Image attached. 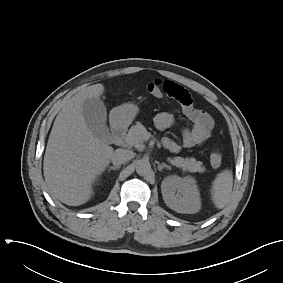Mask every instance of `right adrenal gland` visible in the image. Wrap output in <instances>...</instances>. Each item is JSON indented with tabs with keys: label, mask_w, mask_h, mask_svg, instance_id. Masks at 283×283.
<instances>
[{
	"label": "right adrenal gland",
	"mask_w": 283,
	"mask_h": 283,
	"mask_svg": "<svg viewBox=\"0 0 283 283\" xmlns=\"http://www.w3.org/2000/svg\"><path fill=\"white\" fill-rule=\"evenodd\" d=\"M120 169V166H110L108 168V172H110L111 170H119Z\"/></svg>",
	"instance_id": "right-adrenal-gland-1"
}]
</instances>
